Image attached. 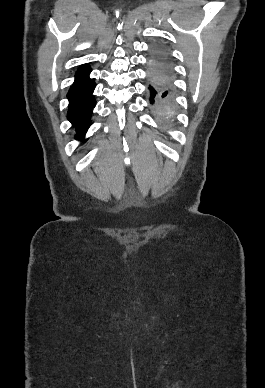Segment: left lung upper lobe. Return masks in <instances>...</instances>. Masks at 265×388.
<instances>
[{"label":"left lung upper lobe","mask_w":265,"mask_h":388,"mask_svg":"<svg viewBox=\"0 0 265 388\" xmlns=\"http://www.w3.org/2000/svg\"><path fill=\"white\" fill-rule=\"evenodd\" d=\"M152 66L173 74L171 64L166 56L165 51L162 48H156L154 50V57L151 61Z\"/></svg>","instance_id":"left-lung-upper-lobe-1"}]
</instances>
